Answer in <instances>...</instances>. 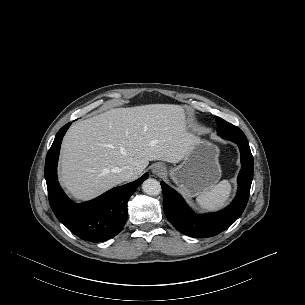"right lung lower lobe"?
<instances>
[{
    "label": "right lung lower lobe",
    "mask_w": 305,
    "mask_h": 305,
    "mask_svg": "<svg viewBox=\"0 0 305 305\" xmlns=\"http://www.w3.org/2000/svg\"><path fill=\"white\" fill-rule=\"evenodd\" d=\"M71 122L57 133L45 161V179L50 206L56 217L79 238L101 242L116 236L127 220V202L148 173L129 184L113 188L98 198L76 204L61 189L57 180V162L64 134Z\"/></svg>",
    "instance_id": "right-lung-lower-lobe-1"
}]
</instances>
